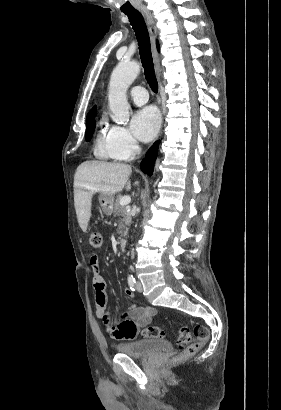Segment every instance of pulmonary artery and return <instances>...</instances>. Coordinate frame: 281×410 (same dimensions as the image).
Listing matches in <instances>:
<instances>
[{"label": "pulmonary artery", "instance_id": "obj_1", "mask_svg": "<svg viewBox=\"0 0 281 410\" xmlns=\"http://www.w3.org/2000/svg\"><path fill=\"white\" fill-rule=\"evenodd\" d=\"M129 96L136 105H143L148 102L147 90L142 86L132 87Z\"/></svg>", "mask_w": 281, "mask_h": 410}]
</instances>
